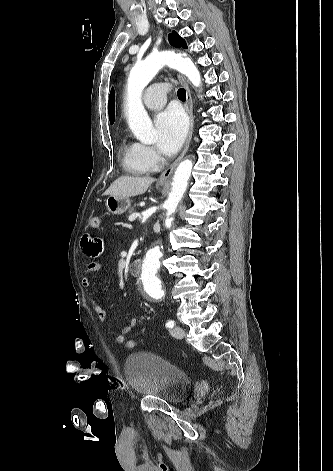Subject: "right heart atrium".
Masks as SVG:
<instances>
[{
    "label": "right heart atrium",
    "instance_id": "obj_1",
    "mask_svg": "<svg viewBox=\"0 0 333 471\" xmlns=\"http://www.w3.org/2000/svg\"><path fill=\"white\" fill-rule=\"evenodd\" d=\"M137 150L141 161L151 170L160 165L161 156L153 147L137 143Z\"/></svg>",
    "mask_w": 333,
    "mask_h": 471
}]
</instances>
